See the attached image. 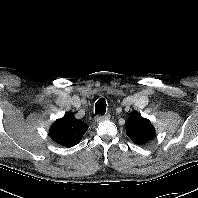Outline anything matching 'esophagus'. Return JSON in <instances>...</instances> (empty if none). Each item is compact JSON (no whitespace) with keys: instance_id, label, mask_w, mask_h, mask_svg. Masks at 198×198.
Listing matches in <instances>:
<instances>
[{"instance_id":"obj_1","label":"esophagus","mask_w":198,"mask_h":198,"mask_svg":"<svg viewBox=\"0 0 198 198\" xmlns=\"http://www.w3.org/2000/svg\"><path fill=\"white\" fill-rule=\"evenodd\" d=\"M110 119V115L106 114V115H97L95 117V121L96 122H101V121H105V120H109Z\"/></svg>"}]
</instances>
